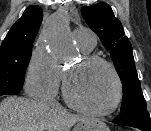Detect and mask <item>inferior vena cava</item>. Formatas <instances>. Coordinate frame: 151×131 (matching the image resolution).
<instances>
[{
    "mask_svg": "<svg viewBox=\"0 0 151 131\" xmlns=\"http://www.w3.org/2000/svg\"><path fill=\"white\" fill-rule=\"evenodd\" d=\"M42 103L44 105L52 107V108L60 107L59 103L55 100L54 96H49V97L45 98Z\"/></svg>",
    "mask_w": 151,
    "mask_h": 131,
    "instance_id": "obj_1",
    "label": "inferior vena cava"
}]
</instances>
